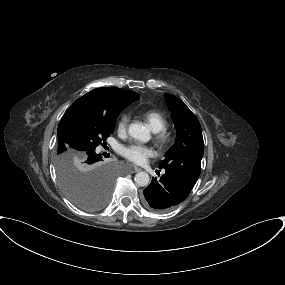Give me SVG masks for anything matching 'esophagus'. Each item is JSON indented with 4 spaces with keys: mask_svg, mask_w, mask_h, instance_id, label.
<instances>
[{
    "mask_svg": "<svg viewBox=\"0 0 285 285\" xmlns=\"http://www.w3.org/2000/svg\"><path fill=\"white\" fill-rule=\"evenodd\" d=\"M142 169L141 168H139V167H134V172H140Z\"/></svg>",
    "mask_w": 285,
    "mask_h": 285,
    "instance_id": "obj_1",
    "label": "esophagus"
}]
</instances>
